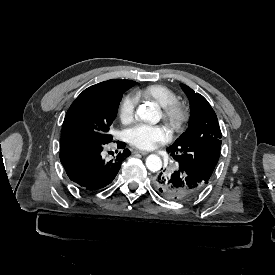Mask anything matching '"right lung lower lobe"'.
Returning a JSON list of instances; mask_svg holds the SVG:
<instances>
[{
  "label": "right lung lower lobe",
  "mask_w": 275,
  "mask_h": 275,
  "mask_svg": "<svg viewBox=\"0 0 275 275\" xmlns=\"http://www.w3.org/2000/svg\"><path fill=\"white\" fill-rule=\"evenodd\" d=\"M90 138L71 137L60 141V161L71 181L79 188L94 191L109 185L117 175L123 160L131 153L125 143L118 142L124 149L110 161L102 158L104 146Z\"/></svg>",
  "instance_id": "obj_1"
}]
</instances>
